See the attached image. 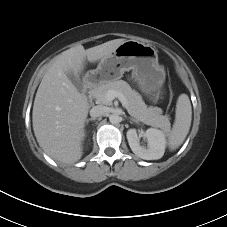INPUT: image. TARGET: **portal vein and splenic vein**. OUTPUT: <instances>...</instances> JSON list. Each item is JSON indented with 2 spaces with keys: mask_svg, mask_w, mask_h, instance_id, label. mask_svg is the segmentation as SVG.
<instances>
[{
  "mask_svg": "<svg viewBox=\"0 0 227 227\" xmlns=\"http://www.w3.org/2000/svg\"><path fill=\"white\" fill-rule=\"evenodd\" d=\"M105 98L107 101H113L115 98H118L119 101L122 103L123 107H127V100L125 98V96L120 93V92H117L115 90H109L106 95H105Z\"/></svg>",
  "mask_w": 227,
  "mask_h": 227,
  "instance_id": "portal-vein-and-splenic-vein-1",
  "label": "portal vein and splenic vein"
}]
</instances>
